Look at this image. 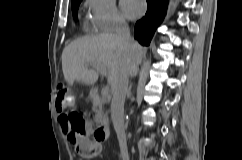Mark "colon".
<instances>
[{"instance_id":"5ec220e1","label":"colon","mask_w":242,"mask_h":160,"mask_svg":"<svg viewBox=\"0 0 242 160\" xmlns=\"http://www.w3.org/2000/svg\"><path fill=\"white\" fill-rule=\"evenodd\" d=\"M72 96L66 85L60 83L56 89L55 105L58 111L62 113L61 119L68 124L71 133L81 135L86 130V119L82 113L72 110ZM99 153V145L93 142L92 148L88 152V156L94 157Z\"/></svg>"}]
</instances>
